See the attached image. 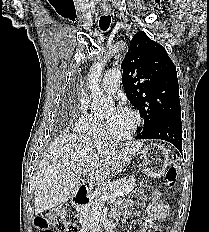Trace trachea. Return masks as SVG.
I'll return each instance as SVG.
<instances>
[{
	"instance_id": "trachea-1",
	"label": "trachea",
	"mask_w": 209,
	"mask_h": 232,
	"mask_svg": "<svg viewBox=\"0 0 209 232\" xmlns=\"http://www.w3.org/2000/svg\"><path fill=\"white\" fill-rule=\"evenodd\" d=\"M110 23H111L110 15L101 16L99 20V27L101 28V30L106 31L108 30Z\"/></svg>"
}]
</instances>
